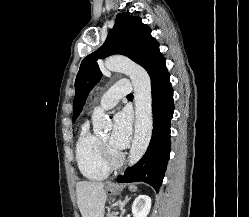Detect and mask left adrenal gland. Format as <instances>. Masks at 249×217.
<instances>
[{
  "mask_svg": "<svg viewBox=\"0 0 249 217\" xmlns=\"http://www.w3.org/2000/svg\"><path fill=\"white\" fill-rule=\"evenodd\" d=\"M130 198L131 197L126 196L123 201H120V211H121V214H120L119 217H123V215L125 214L126 211H125L124 207L129 202Z\"/></svg>",
  "mask_w": 249,
  "mask_h": 217,
  "instance_id": "obj_1",
  "label": "left adrenal gland"
}]
</instances>
